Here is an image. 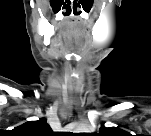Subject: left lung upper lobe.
Segmentation results:
<instances>
[{
  "instance_id": "1",
  "label": "left lung upper lobe",
  "mask_w": 151,
  "mask_h": 136,
  "mask_svg": "<svg viewBox=\"0 0 151 136\" xmlns=\"http://www.w3.org/2000/svg\"><path fill=\"white\" fill-rule=\"evenodd\" d=\"M119 132L117 128L114 127H110V128H106V127H101L100 128V133L102 135H110L113 133Z\"/></svg>"
}]
</instances>
